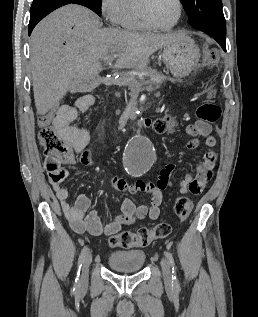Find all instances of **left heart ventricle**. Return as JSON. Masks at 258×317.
Listing matches in <instances>:
<instances>
[{"label": "left heart ventricle", "instance_id": "b2bd125f", "mask_svg": "<svg viewBox=\"0 0 258 317\" xmlns=\"http://www.w3.org/2000/svg\"><path fill=\"white\" fill-rule=\"evenodd\" d=\"M178 7L174 0H155L151 3L147 16L154 26H168L177 18Z\"/></svg>", "mask_w": 258, "mask_h": 317}]
</instances>
